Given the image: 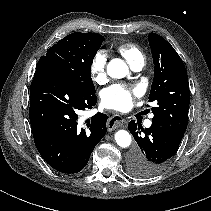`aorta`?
Masks as SVG:
<instances>
[{
  "instance_id": "762f6f07",
  "label": "aorta",
  "mask_w": 211,
  "mask_h": 211,
  "mask_svg": "<svg viewBox=\"0 0 211 211\" xmlns=\"http://www.w3.org/2000/svg\"><path fill=\"white\" fill-rule=\"evenodd\" d=\"M127 73L128 66L121 59H112L107 65V74L112 78H124ZM115 141L118 146L127 148L131 144V135L126 130H119L115 133Z\"/></svg>"
}]
</instances>
